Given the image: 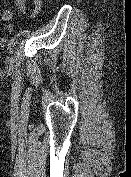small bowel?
<instances>
[{
    "instance_id": "1",
    "label": "small bowel",
    "mask_w": 131,
    "mask_h": 177,
    "mask_svg": "<svg viewBox=\"0 0 131 177\" xmlns=\"http://www.w3.org/2000/svg\"><path fill=\"white\" fill-rule=\"evenodd\" d=\"M16 7L18 8V10L20 11V13L26 18V19H31L33 18L40 10L41 4H40V0H34L33 4H34V8L32 11H29L27 9V4H26V0H14ZM13 18V13L10 10H4L0 13V20L4 23H7L8 26V30L10 32H13L14 27L11 24Z\"/></svg>"
}]
</instances>
